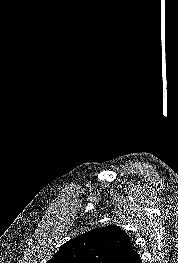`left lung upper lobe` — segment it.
<instances>
[{
	"mask_svg": "<svg viewBox=\"0 0 178 263\" xmlns=\"http://www.w3.org/2000/svg\"><path fill=\"white\" fill-rule=\"evenodd\" d=\"M128 239L118 226L94 229L64 243L47 263H109Z\"/></svg>",
	"mask_w": 178,
	"mask_h": 263,
	"instance_id": "obj_1",
	"label": "left lung upper lobe"
}]
</instances>
